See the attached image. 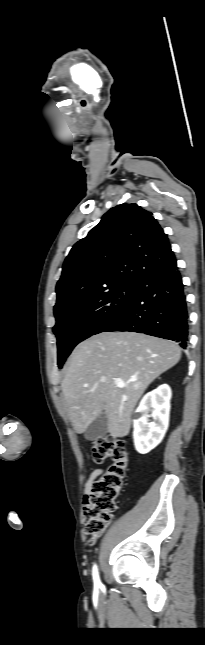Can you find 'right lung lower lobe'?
Instances as JSON below:
<instances>
[{
  "instance_id": "obj_1",
  "label": "right lung lower lobe",
  "mask_w": 205,
  "mask_h": 645,
  "mask_svg": "<svg viewBox=\"0 0 205 645\" xmlns=\"http://www.w3.org/2000/svg\"><path fill=\"white\" fill-rule=\"evenodd\" d=\"M187 302L176 259L161 265L135 284L132 304L106 327L173 340L186 348L189 341Z\"/></svg>"
}]
</instances>
